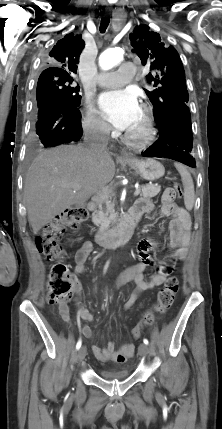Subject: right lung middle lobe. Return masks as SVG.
I'll return each instance as SVG.
<instances>
[{"mask_svg":"<svg viewBox=\"0 0 222 429\" xmlns=\"http://www.w3.org/2000/svg\"><path fill=\"white\" fill-rule=\"evenodd\" d=\"M74 79L72 76H41L38 79L36 90L37 107L50 96H62L70 103L79 106L81 96L79 95V86L73 85Z\"/></svg>","mask_w":222,"mask_h":429,"instance_id":"obj_1","label":"right lung middle lobe"}]
</instances>
